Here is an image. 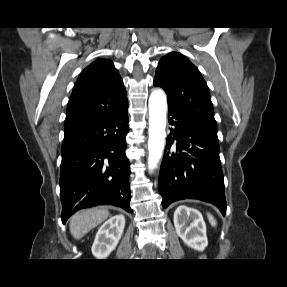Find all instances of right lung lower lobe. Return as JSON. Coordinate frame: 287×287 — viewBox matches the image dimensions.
Here are the masks:
<instances>
[{"instance_id":"right-lung-lower-lobe-1","label":"right lung lower lobe","mask_w":287,"mask_h":287,"mask_svg":"<svg viewBox=\"0 0 287 287\" xmlns=\"http://www.w3.org/2000/svg\"><path fill=\"white\" fill-rule=\"evenodd\" d=\"M128 102L117 111L65 126L60 170L62 222L76 211L114 205L132 212L125 155Z\"/></svg>"}]
</instances>
